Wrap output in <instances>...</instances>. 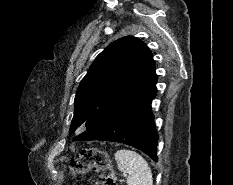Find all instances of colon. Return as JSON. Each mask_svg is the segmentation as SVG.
<instances>
[{
  "label": "colon",
  "instance_id": "5ec220e1",
  "mask_svg": "<svg viewBox=\"0 0 233 185\" xmlns=\"http://www.w3.org/2000/svg\"><path fill=\"white\" fill-rule=\"evenodd\" d=\"M69 170L70 174L75 178H80L88 171L93 170L102 185H116L108 155L99 148L82 149L78 158L71 161Z\"/></svg>",
  "mask_w": 233,
  "mask_h": 185
}]
</instances>
